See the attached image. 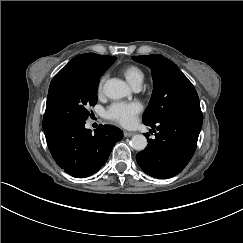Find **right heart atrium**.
Segmentation results:
<instances>
[{"label": "right heart atrium", "instance_id": "d8ad5b80", "mask_svg": "<svg viewBox=\"0 0 243 243\" xmlns=\"http://www.w3.org/2000/svg\"><path fill=\"white\" fill-rule=\"evenodd\" d=\"M108 76H109V73L105 72L99 77L97 86H96V91H97L98 96H101L103 94L104 84H105Z\"/></svg>", "mask_w": 243, "mask_h": 243}]
</instances>
